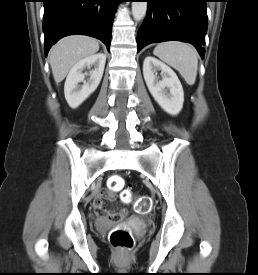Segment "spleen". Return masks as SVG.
I'll use <instances>...</instances> for the list:
<instances>
[{"label":"spleen","instance_id":"spleen-1","mask_svg":"<svg viewBox=\"0 0 258 275\" xmlns=\"http://www.w3.org/2000/svg\"><path fill=\"white\" fill-rule=\"evenodd\" d=\"M153 53L178 70L188 85H194L197 77L198 54L192 45L180 41L163 42L155 47Z\"/></svg>","mask_w":258,"mask_h":275}]
</instances>
